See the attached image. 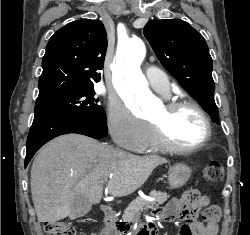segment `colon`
Wrapping results in <instances>:
<instances>
[{
    "label": "colon",
    "instance_id": "1",
    "mask_svg": "<svg viewBox=\"0 0 250 235\" xmlns=\"http://www.w3.org/2000/svg\"><path fill=\"white\" fill-rule=\"evenodd\" d=\"M204 179L209 183H219L223 178V170L218 162L208 163L203 170ZM221 218V207L218 204L208 206L203 212V220L206 224L217 225ZM89 223L90 219L82 220ZM47 235H76V228L67 221H51L44 223Z\"/></svg>",
    "mask_w": 250,
    "mask_h": 235
}]
</instances>
